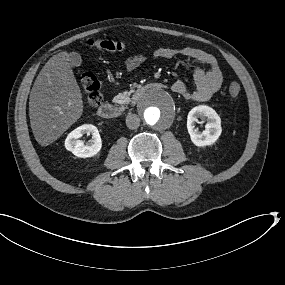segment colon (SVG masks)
I'll return each instance as SVG.
<instances>
[{
  "label": "colon",
  "instance_id": "colon-1",
  "mask_svg": "<svg viewBox=\"0 0 285 285\" xmlns=\"http://www.w3.org/2000/svg\"><path fill=\"white\" fill-rule=\"evenodd\" d=\"M87 43L89 47L107 51H124L129 47L127 42L109 39H90ZM80 83L86 102L93 107L100 105L102 93L96 76L91 72H84L80 75ZM227 91L229 96L237 97L241 92V87L238 83L232 82L229 84Z\"/></svg>",
  "mask_w": 285,
  "mask_h": 285
}]
</instances>
